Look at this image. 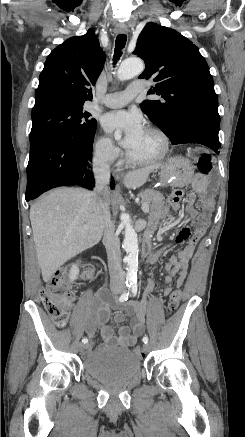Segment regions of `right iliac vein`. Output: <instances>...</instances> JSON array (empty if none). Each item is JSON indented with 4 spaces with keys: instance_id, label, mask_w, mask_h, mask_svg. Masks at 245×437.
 <instances>
[{
    "instance_id": "obj_1",
    "label": "right iliac vein",
    "mask_w": 245,
    "mask_h": 437,
    "mask_svg": "<svg viewBox=\"0 0 245 437\" xmlns=\"http://www.w3.org/2000/svg\"><path fill=\"white\" fill-rule=\"evenodd\" d=\"M85 347H86L85 344L80 343L79 346H78V349H79L80 352H82V351H84Z\"/></svg>"
}]
</instances>
